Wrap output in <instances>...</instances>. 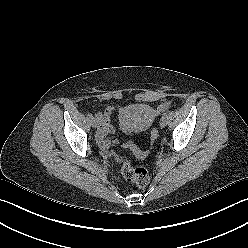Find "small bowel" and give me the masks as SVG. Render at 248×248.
<instances>
[{
  "label": "small bowel",
  "mask_w": 248,
  "mask_h": 248,
  "mask_svg": "<svg viewBox=\"0 0 248 248\" xmlns=\"http://www.w3.org/2000/svg\"><path fill=\"white\" fill-rule=\"evenodd\" d=\"M166 107L167 106H164V108ZM116 110L117 108L115 106H108L105 110L97 114V119L99 122V127L97 130V142L102 150H107L110 146L118 144V140L108 138V135L114 132V127L110 123V117ZM122 111L123 109H119L120 128L126 134L132 133L133 130L126 126V124H124L121 119Z\"/></svg>",
  "instance_id": "1"
}]
</instances>
